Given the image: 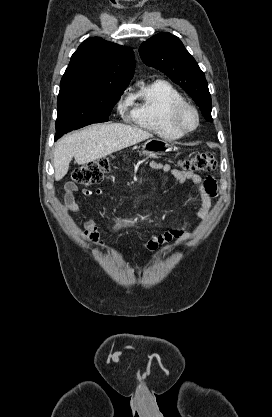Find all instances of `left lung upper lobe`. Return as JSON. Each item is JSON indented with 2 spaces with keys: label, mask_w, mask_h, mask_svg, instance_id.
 I'll return each instance as SVG.
<instances>
[{
  "label": "left lung upper lobe",
  "mask_w": 272,
  "mask_h": 417,
  "mask_svg": "<svg viewBox=\"0 0 272 417\" xmlns=\"http://www.w3.org/2000/svg\"><path fill=\"white\" fill-rule=\"evenodd\" d=\"M142 61L160 70L180 85L200 107L207 121L211 117V95L204 73L180 39L168 32L156 34L139 48Z\"/></svg>",
  "instance_id": "left-lung-upper-lobe-1"
}]
</instances>
